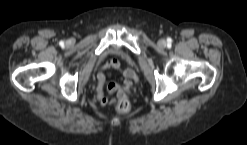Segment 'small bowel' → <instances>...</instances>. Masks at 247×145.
Returning a JSON list of instances; mask_svg holds the SVG:
<instances>
[{
    "mask_svg": "<svg viewBox=\"0 0 247 145\" xmlns=\"http://www.w3.org/2000/svg\"><path fill=\"white\" fill-rule=\"evenodd\" d=\"M121 69L120 62L116 59L109 60L103 66L100 67L97 74V97L102 106H108L111 104L110 98L105 94L106 88V69ZM122 84H111L108 87L109 93H115L118 98H126L127 91L132 88V81L136 79V75L131 69L121 70Z\"/></svg>",
    "mask_w": 247,
    "mask_h": 145,
    "instance_id": "small-bowel-1",
    "label": "small bowel"
}]
</instances>
